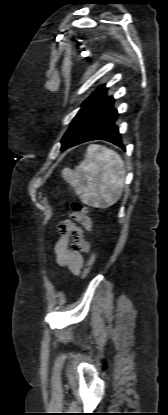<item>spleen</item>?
<instances>
[{"mask_svg":"<svg viewBox=\"0 0 168 415\" xmlns=\"http://www.w3.org/2000/svg\"><path fill=\"white\" fill-rule=\"evenodd\" d=\"M62 176L83 203L109 207L122 195L124 162L112 149L92 144L87 148L84 160L74 170L65 168Z\"/></svg>","mask_w":168,"mask_h":415,"instance_id":"spleen-1","label":"spleen"}]
</instances>
